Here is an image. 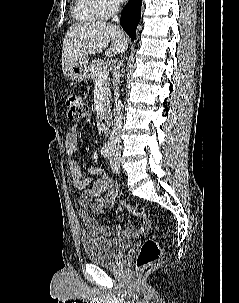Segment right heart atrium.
Listing matches in <instances>:
<instances>
[{
  "mask_svg": "<svg viewBox=\"0 0 239 303\" xmlns=\"http://www.w3.org/2000/svg\"><path fill=\"white\" fill-rule=\"evenodd\" d=\"M95 15L101 19L116 14L121 6L122 0H89Z\"/></svg>",
  "mask_w": 239,
  "mask_h": 303,
  "instance_id": "1",
  "label": "right heart atrium"
}]
</instances>
